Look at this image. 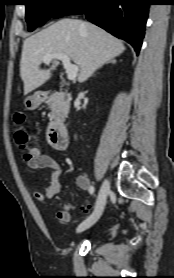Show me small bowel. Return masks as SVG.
<instances>
[{
    "label": "small bowel",
    "instance_id": "1",
    "mask_svg": "<svg viewBox=\"0 0 174 278\" xmlns=\"http://www.w3.org/2000/svg\"><path fill=\"white\" fill-rule=\"evenodd\" d=\"M26 165L33 170L44 168L52 170L50 185L42 191L34 192V198L36 201L44 202L46 198H52L61 192L60 176L62 169L54 158L39 152L38 156L35 159L26 162ZM76 185L80 190L88 192L92 186L90 179L86 175L78 176L76 179ZM74 208L75 206L73 203L69 199H65L63 209L57 213L58 221L62 223L69 222L71 218V210Z\"/></svg>",
    "mask_w": 174,
    "mask_h": 278
}]
</instances>
